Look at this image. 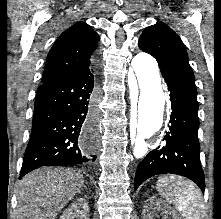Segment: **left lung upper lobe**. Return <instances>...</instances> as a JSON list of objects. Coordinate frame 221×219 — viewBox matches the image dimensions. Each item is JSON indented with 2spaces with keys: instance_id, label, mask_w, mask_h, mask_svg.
Returning <instances> with one entry per match:
<instances>
[{
  "instance_id": "5c2ea615",
  "label": "left lung upper lobe",
  "mask_w": 221,
  "mask_h": 219,
  "mask_svg": "<svg viewBox=\"0 0 221 219\" xmlns=\"http://www.w3.org/2000/svg\"><path fill=\"white\" fill-rule=\"evenodd\" d=\"M139 48L156 58L161 70L173 72L195 85V77L180 37L158 21L147 27L139 39Z\"/></svg>"
}]
</instances>
